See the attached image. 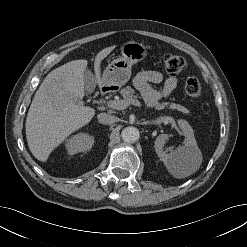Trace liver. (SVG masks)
Instances as JSON below:
<instances>
[{
  "mask_svg": "<svg viewBox=\"0 0 247 247\" xmlns=\"http://www.w3.org/2000/svg\"><path fill=\"white\" fill-rule=\"evenodd\" d=\"M114 49L104 48L95 57V83L101 78V61ZM87 60H74L51 71L36 91L27 113L25 132L32 155L45 162L50 153L70 134L87 125L95 110L85 106Z\"/></svg>",
  "mask_w": 247,
  "mask_h": 247,
  "instance_id": "1",
  "label": "liver"
}]
</instances>
